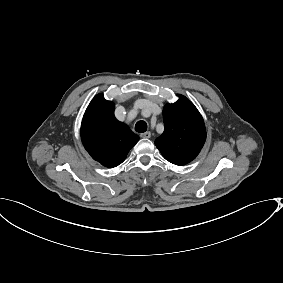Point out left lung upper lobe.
Wrapping results in <instances>:
<instances>
[{
	"label": "left lung upper lobe",
	"mask_w": 283,
	"mask_h": 283,
	"mask_svg": "<svg viewBox=\"0 0 283 283\" xmlns=\"http://www.w3.org/2000/svg\"><path fill=\"white\" fill-rule=\"evenodd\" d=\"M165 130L155 140L163 157L176 165H185L196 158L206 140L202 116L192 102L179 95L177 102L163 109Z\"/></svg>",
	"instance_id": "left-lung-upper-lobe-1"
}]
</instances>
